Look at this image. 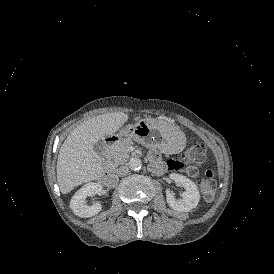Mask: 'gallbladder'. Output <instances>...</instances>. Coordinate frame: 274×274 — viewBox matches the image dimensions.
<instances>
[{
    "label": "gallbladder",
    "mask_w": 274,
    "mask_h": 274,
    "mask_svg": "<svg viewBox=\"0 0 274 274\" xmlns=\"http://www.w3.org/2000/svg\"><path fill=\"white\" fill-rule=\"evenodd\" d=\"M103 148H104V142L99 141L95 146H94V150L97 153H102L103 152Z\"/></svg>",
    "instance_id": "1"
}]
</instances>
